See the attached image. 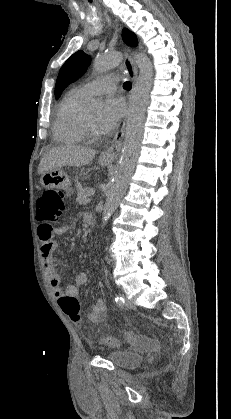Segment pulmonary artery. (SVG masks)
<instances>
[{
	"label": "pulmonary artery",
	"mask_w": 231,
	"mask_h": 419,
	"mask_svg": "<svg viewBox=\"0 0 231 419\" xmlns=\"http://www.w3.org/2000/svg\"><path fill=\"white\" fill-rule=\"evenodd\" d=\"M119 77L114 74H107L79 87V90L87 96L99 93L114 92Z\"/></svg>",
	"instance_id": "obj_1"
}]
</instances>
